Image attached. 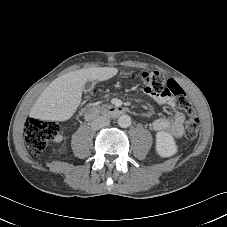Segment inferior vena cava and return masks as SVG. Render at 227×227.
I'll return each mask as SVG.
<instances>
[{
  "label": "inferior vena cava",
  "instance_id": "inferior-vena-cava-1",
  "mask_svg": "<svg viewBox=\"0 0 227 227\" xmlns=\"http://www.w3.org/2000/svg\"><path fill=\"white\" fill-rule=\"evenodd\" d=\"M110 123L109 119L105 116H98L97 118H95L92 123H91V127L94 130H98L100 128H103L105 126H108Z\"/></svg>",
  "mask_w": 227,
  "mask_h": 227
}]
</instances>
